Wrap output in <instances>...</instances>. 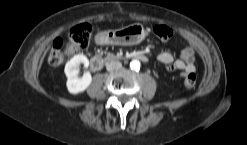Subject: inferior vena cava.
<instances>
[{"label":"inferior vena cava","instance_id":"obj_1","mask_svg":"<svg viewBox=\"0 0 247 145\" xmlns=\"http://www.w3.org/2000/svg\"><path fill=\"white\" fill-rule=\"evenodd\" d=\"M120 68H122V64L119 61H110L108 63H106V69L108 71H114V70H119Z\"/></svg>","mask_w":247,"mask_h":145}]
</instances>
